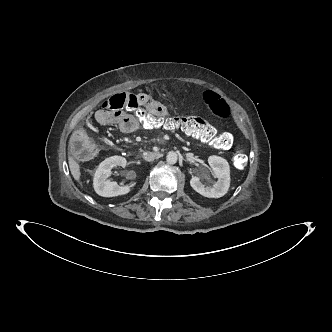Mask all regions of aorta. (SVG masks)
I'll list each match as a JSON object with an SVG mask.
<instances>
[{"instance_id":"aorta-1","label":"aorta","mask_w":332,"mask_h":332,"mask_svg":"<svg viewBox=\"0 0 332 332\" xmlns=\"http://www.w3.org/2000/svg\"><path fill=\"white\" fill-rule=\"evenodd\" d=\"M177 159H178V156H177L176 152L170 151L167 154V157H166L167 163L175 164L177 162Z\"/></svg>"}]
</instances>
